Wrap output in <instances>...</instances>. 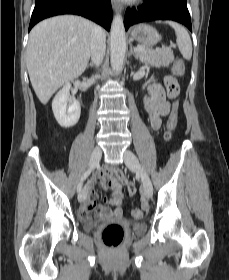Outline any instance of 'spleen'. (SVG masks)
<instances>
[{
    "mask_svg": "<svg viewBox=\"0 0 229 280\" xmlns=\"http://www.w3.org/2000/svg\"><path fill=\"white\" fill-rule=\"evenodd\" d=\"M165 23L169 24L175 30L176 44L178 45L179 51L182 56L187 60L191 59L192 42L186 29L180 24L173 21H166Z\"/></svg>",
    "mask_w": 229,
    "mask_h": 280,
    "instance_id": "spleen-1",
    "label": "spleen"
}]
</instances>
